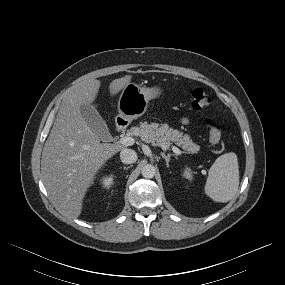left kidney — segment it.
I'll use <instances>...</instances> for the list:
<instances>
[{
  "label": "left kidney",
  "instance_id": "left-kidney-1",
  "mask_svg": "<svg viewBox=\"0 0 285 285\" xmlns=\"http://www.w3.org/2000/svg\"><path fill=\"white\" fill-rule=\"evenodd\" d=\"M182 176H183L185 179H188L189 181H191V180L193 179L192 172H191L189 169H185V170L183 171Z\"/></svg>",
  "mask_w": 285,
  "mask_h": 285
}]
</instances>
